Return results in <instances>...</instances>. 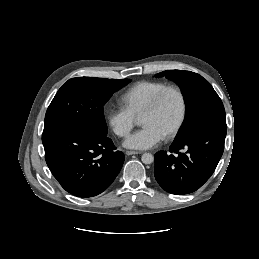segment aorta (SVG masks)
Returning a JSON list of instances; mask_svg holds the SVG:
<instances>
[{
	"label": "aorta",
	"instance_id": "obj_1",
	"mask_svg": "<svg viewBox=\"0 0 259 259\" xmlns=\"http://www.w3.org/2000/svg\"><path fill=\"white\" fill-rule=\"evenodd\" d=\"M141 160L144 164H151L154 161V156L151 153H144Z\"/></svg>",
	"mask_w": 259,
	"mask_h": 259
}]
</instances>
